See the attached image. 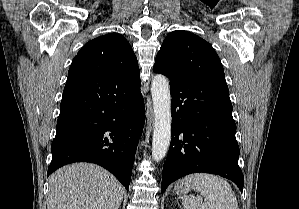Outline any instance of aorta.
Here are the masks:
<instances>
[{"label":"aorta","mask_w":299,"mask_h":209,"mask_svg":"<svg viewBox=\"0 0 299 209\" xmlns=\"http://www.w3.org/2000/svg\"><path fill=\"white\" fill-rule=\"evenodd\" d=\"M154 111L152 158L161 161L171 141V96L169 82L162 74L154 76L151 84Z\"/></svg>","instance_id":"1"}]
</instances>
